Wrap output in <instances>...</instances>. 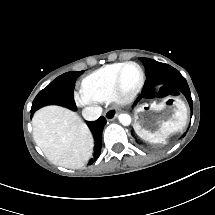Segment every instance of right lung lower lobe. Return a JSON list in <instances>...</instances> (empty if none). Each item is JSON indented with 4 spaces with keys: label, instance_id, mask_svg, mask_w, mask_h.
Here are the masks:
<instances>
[{
    "label": "right lung lower lobe",
    "instance_id": "1",
    "mask_svg": "<svg viewBox=\"0 0 215 215\" xmlns=\"http://www.w3.org/2000/svg\"><path fill=\"white\" fill-rule=\"evenodd\" d=\"M106 124V120L104 117H100L98 120L94 122H88L90 129L92 130L94 137H95V148L93 158L90 160L89 164L95 162L101 152V144H102V131L104 125Z\"/></svg>",
    "mask_w": 215,
    "mask_h": 215
}]
</instances>
